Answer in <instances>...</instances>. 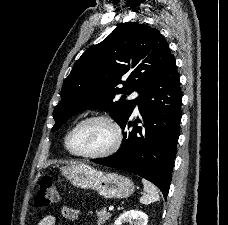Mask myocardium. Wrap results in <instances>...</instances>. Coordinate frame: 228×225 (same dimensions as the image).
<instances>
[{
	"label": "myocardium",
	"instance_id": "obj_1",
	"mask_svg": "<svg viewBox=\"0 0 228 225\" xmlns=\"http://www.w3.org/2000/svg\"><path fill=\"white\" fill-rule=\"evenodd\" d=\"M89 121H100V122H103L104 124H106L113 133V142H112L111 146L103 152L76 153L70 149V146H69L70 136L73 134V132L79 126H81L82 124L89 122ZM63 145H64L65 151L70 156L77 157V158H87V159H102V158H106V157L113 155L120 149V147L122 145V133H121V129H120L119 125L113 119L109 118L108 116L99 115V114L87 115V116L79 119L68 129V131L66 132L64 139H63Z\"/></svg>",
	"mask_w": 228,
	"mask_h": 225
}]
</instances>
